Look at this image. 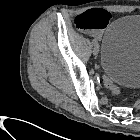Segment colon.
Here are the masks:
<instances>
[{
    "label": "colon",
    "mask_w": 140,
    "mask_h": 140,
    "mask_svg": "<svg viewBox=\"0 0 140 140\" xmlns=\"http://www.w3.org/2000/svg\"><path fill=\"white\" fill-rule=\"evenodd\" d=\"M103 16L106 17L107 19L109 18V16L107 15L106 12H103ZM84 22H85V13L79 15L75 20L76 25L79 26L80 28H83V27H81V24L84 23ZM104 82H105L106 88L109 90V92L112 95H114V96L119 95V88H118V86L116 85V83L112 79L105 78Z\"/></svg>",
    "instance_id": "obj_1"
}]
</instances>
